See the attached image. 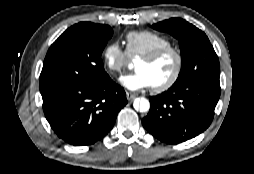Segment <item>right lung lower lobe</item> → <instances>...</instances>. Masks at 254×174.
Segmentation results:
<instances>
[{
    "mask_svg": "<svg viewBox=\"0 0 254 174\" xmlns=\"http://www.w3.org/2000/svg\"><path fill=\"white\" fill-rule=\"evenodd\" d=\"M47 121L66 143L94 144L115 124L127 104L126 93L108 76L94 84L62 86L42 93Z\"/></svg>",
    "mask_w": 254,
    "mask_h": 174,
    "instance_id": "1",
    "label": "right lung lower lobe"
}]
</instances>
